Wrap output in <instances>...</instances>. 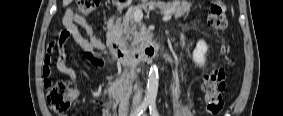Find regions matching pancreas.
<instances>
[{
	"instance_id": "cf45deb5",
	"label": "pancreas",
	"mask_w": 283,
	"mask_h": 116,
	"mask_svg": "<svg viewBox=\"0 0 283 116\" xmlns=\"http://www.w3.org/2000/svg\"><path fill=\"white\" fill-rule=\"evenodd\" d=\"M151 5L158 7L163 13L171 11L175 18L182 17L186 13H189L191 6V4L186 1L177 0L168 3L162 1H150L149 3L138 5L137 7H131L123 17L122 23L116 25L112 30V35L120 45L127 46L129 41L132 48L139 47L142 39L140 33L137 31L138 26L134 23L133 13L137 8L146 10L147 7Z\"/></svg>"
}]
</instances>
